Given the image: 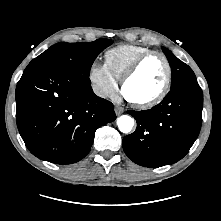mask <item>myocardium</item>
<instances>
[{
    "label": "myocardium",
    "mask_w": 221,
    "mask_h": 221,
    "mask_svg": "<svg viewBox=\"0 0 221 221\" xmlns=\"http://www.w3.org/2000/svg\"><path fill=\"white\" fill-rule=\"evenodd\" d=\"M152 56H158L160 57L166 67V77H165V81L164 84L161 88V90L153 97L144 100V101H136L133 100L131 98H129L126 94L125 91V87L127 85V83L136 75V73L139 71L140 67L142 66V64L150 57ZM171 83H172V65L170 60L168 59V57L160 52V51H154V50H150L142 55H140L135 61L134 63L129 67V69L125 72L124 76L121 79V90L122 93L124 95V97L136 108H140V109H147V108H151L157 104H159L160 102H162L165 97L168 95L170 87H171Z\"/></svg>",
    "instance_id": "1"
}]
</instances>
